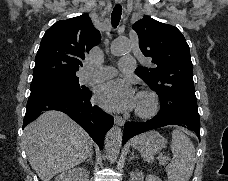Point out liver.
Returning a JSON list of instances; mask_svg holds the SVG:
<instances>
[{"label":"liver","instance_id":"1","mask_svg":"<svg viewBox=\"0 0 228 181\" xmlns=\"http://www.w3.org/2000/svg\"><path fill=\"white\" fill-rule=\"evenodd\" d=\"M24 143L29 165L41 181L81 165L93 153L91 137L60 111H45L27 125Z\"/></svg>","mask_w":228,"mask_h":181}]
</instances>
